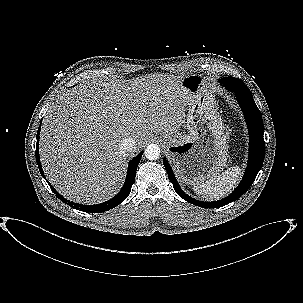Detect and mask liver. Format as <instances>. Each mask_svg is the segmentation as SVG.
Instances as JSON below:
<instances>
[{
	"instance_id": "1",
	"label": "liver",
	"mask_w": 303,
	"mask_h": 303,
	"mask_svg": "<svg viewBox=\"0 0 303 303\" xmlns=\"http://www.w3.org/2000/svg\"><path fill=\"white\" fill-rule=\"evenodd\" d=\"M182 76L147 74L115 80L103 74L58 95L40 132V158L46 177L65 198L101 203L123 181L127 156L153 133L173 132L183 123L188 91ZM136 141L129 155L125 138Z\"/></svg>"
}]
</instances>
